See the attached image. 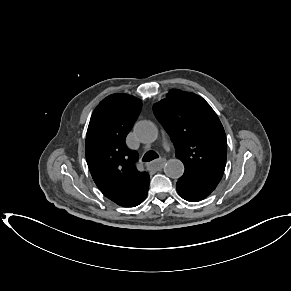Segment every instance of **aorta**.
Segmentation results:
<instances>
[{"label":"aorta","instance_id":"762f6f07","mask_svg":"<svg viewBox=\"0 0 291 291\" xmlns=\"http://www.w3.org/2000/svg\"><path fill=\"white\" fill-rule=\"evenodd\" d=\"M134 132L136 138L144 144L153 143L158 138V129L151 121L139 122L135 126ZM164 171L170 178L177 179L184 173V164L179 159H171L167 161Z\"/></svg>","mask_w":291,"mask_h":291}]
</instances>
